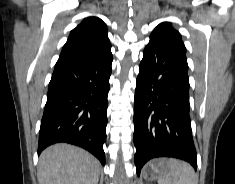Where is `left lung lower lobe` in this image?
<instances>
[{
	"instance_id": "left-lung-lower-lobe-1",
	"label": "left lung lower lobe",
	"mask_w": 235,
	"mask_h": 184,
	"mask_svg": "<svg viewBox=\"0 0 235 184\" xmlns=\"http://www.w3.org/2000/svg\"><path fill=\"white\" fill-rule=\"evenodd\" d=\"M186 57L177 46L150 40L144 49L134 101L137 175L156 157H173L197 169L192 137Z\"/></svg>"
}]
</instances>
